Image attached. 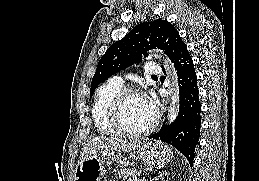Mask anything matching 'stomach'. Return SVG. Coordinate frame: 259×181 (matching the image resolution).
<instances>
[{"label":"stomach","instance_id":"1","mask_svg":"<svg viewBox=\"0 0 259 181\" xmlns=\"http://www.w3.org/2000/svg\"><path fill=\"white\" fill-rule=\"evenodd\" d=\"M121 155L107 152L86 154L75 170V181H101L108 162L121 160ZM173 158L171 149L160 142H146L137 151V159L149 167H161Z\"/></svg>","mask_w":259,"mask_h":181}]
</instances>
